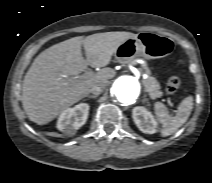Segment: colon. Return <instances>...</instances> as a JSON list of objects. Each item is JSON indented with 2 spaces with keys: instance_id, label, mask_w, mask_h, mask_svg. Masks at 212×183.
Here are the masks:
<instances>
[{
  "instance_id": "colon-1",
  "label": "colon",
  "mask_w": 212,
  "mask_h": 183,
  "mask_svg": "<svg viewBox=\"0 0 212 183\" xmlns=\"http://www.w3.org/2000/svg\"><path fill=\"white\" fill-rule=\"evenodd\" d=\"M180 86V79L177 75H171L166 84V91L169 94L175 93Z\"/></svg>"
}]
</instances>
